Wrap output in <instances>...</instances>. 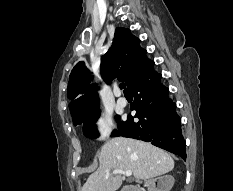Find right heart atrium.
<instances>
[{"instance_id": "1", "label": "right heart atrium", "mask_w": 233, "mask_h": 191, "mask_svg": "<svg viewBox=\"0 0 233 191\" xmlns=\"http://www.w3.org/2000/svg\"><path fill=\"white\" fill-rule=\"evenodd\" d=\"M112 120L107 115L97 116L92 123V134L95 140L104 141L108 139L112 133Z\"/></svg>"}]
</instances>
